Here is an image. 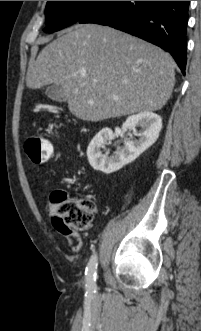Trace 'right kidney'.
Segmentation results:
<instances>
[{"mask_svg":"<svg viewBox=\"0 0 201 331\" xmlns=\"http://www.w3.org/2000/svg\"><path fill=\"white\" fill-rule=\"evenodd\" d=\"M136 127H140V131L135 134L138 139L125 141L124 147L115 151L113 155H109V150L103 153L102 149L115 138V134L108 127L100 130L87 148L89 164L95 170L111 174L133 162L158 139L162 119L152 112H141L129 116L122 124V133L127 130L136 131Z\"/></svg>","mask_w":201,"mask_h":331,"instance_id":"right-kidney-1","label":"right kidney"}]
</instances>
